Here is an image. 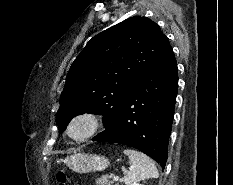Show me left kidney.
Listing matches in <instances>:
<instances>
[{
  "instance_id": "obj_1",
  "label": "left kidney",
  "mask_w": 233,
  "mask_h": 185,
  "mask_svg": "<svg viewBox=\"0 0 233 185\" xmlns=\"http://www.w3.org/2000/svg\"><path fill=\"white\" fill-rule=\"evenodd\" d=\"M134 185H143V184L135 183Z\"/></svg>"
}]
</instances>
